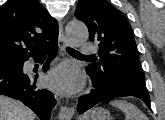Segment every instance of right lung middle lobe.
Returning a JSON list of instances; mask_svg holds the SVG:
<instances>
[{
    "instance_id": "dd1d6c3e",
    "label": "right lung middle lobe",
    "mask_w": 165,
    "mask_h": 120,
    "mask_svg": "<svg viewBox=\"0 0 165 120\" xmlns=\"http://www.w3.org/2000/svg\"><path fill=\"white\" fill-rule=\"evenodd\" d=\"M14 64V62L11 63H0V68H8L11 67Z\"/></svg>"
}]
</instances>
